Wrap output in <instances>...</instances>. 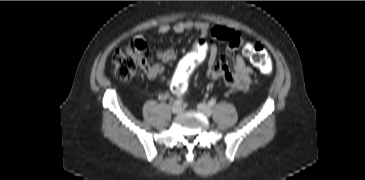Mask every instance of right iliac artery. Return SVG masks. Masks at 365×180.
<instances>
[{
	"label": "right iliac artery",
	"instance_id": "right-iliac-artery-1",
	"mask_svg": "<svg viewBox=\"0 0 365 180\" xmlns=\"http://www.w3.org/2000/svg\"><path fill=\"white\" fill-rule=\"evenodd\" d=\"M183 102H184L183 99H177L174 101V104L180 106L181 104H183Z\"/></svg>",
	"mask_w": 365,
	"mask_h": 180
}]
</instances>
